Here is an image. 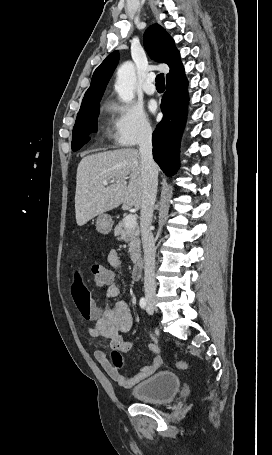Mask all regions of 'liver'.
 Wrapping results in <instances>:
<instances>
[{
  "instance_id": "liver-1",
  "label": "liver",
  "mask_w": 272,
  "mask_h": 455,
  "mask_svg": "<svg viewBox=\"0 0 272 455\" xmlns=\"http://www.w3.org/2000/svg\"><path fill=\"white\" fill-rule=\"evenodd\" d=\"M127 179L129 182L127 183ZM104 180L111 184L107 187ZM144 184L138 150L121 148L83 157L77 168L75 215L78 226L122 204L140 209Z\"/></svg>"
}]
</instances>
